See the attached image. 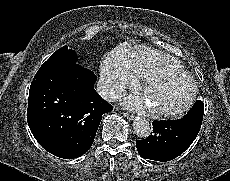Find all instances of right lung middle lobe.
<instances>
[{"label": "right lung middle lobe", "mask_w": 230, "mask_h": 181, "mask_svg": "<svg viewBox=\"0 0 230 181\" xmlns=\"http://www.w3.org/2000/svg\"><path fill=\"white\" fill-rule=\"evenodd\" d=\"M77 56L73 50L64 46L53 53V55L40 67L39 70L57 68L66 64L76 63Z\"/></svg>", "instance_id": "dd1d6c3e"}]
</instances>
